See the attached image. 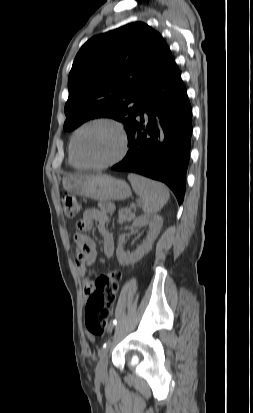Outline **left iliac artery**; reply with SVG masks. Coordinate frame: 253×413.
I'll return each instance as SVG.
<instances>
[{
    "mask_svg": "<svg viewBox=\"0 0 253 413\" xmlns=\"http://www.w3.org/2000/svg\"><path fill=\"white\" fill-rule=\"evenodd\" d=\"M115 324H116V320L113 321V325H115ZM111 331H112V329H111ZM109 345H110V338L103 344V346L99 350V356L100 357L106 354L107 348H108Z\"/></svg>",
    "mask_w": 253,
    "mask_h": 413,
    "instance_id": "obj_1",
    "label": "left iliac artery"
}]
</instances>
